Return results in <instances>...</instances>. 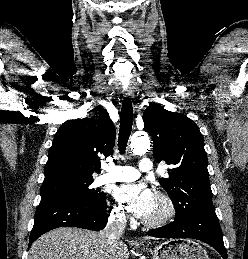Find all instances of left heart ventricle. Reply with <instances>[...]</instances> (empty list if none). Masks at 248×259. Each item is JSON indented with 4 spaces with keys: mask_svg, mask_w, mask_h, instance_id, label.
Masks as SVG:
<instances>
[{
    "mask_svg": "<svg viewBox=\"0 0 248 259\" xmlns=\"http://www.w3.org/2000/svg\"><path fill=\"white\" fill-rule=\"evenodd\" d=\"M164 212V204L161 200L154 197L153 203L147 213V215L144 217L146 219H155L161 216Z\"/></svg>",
    "mask_w": 248,
    "mask_h": 259,
    "instance_id": "left-heart-ventricle-1",
    "label": "left heart ventricle"
}]
</instances>
